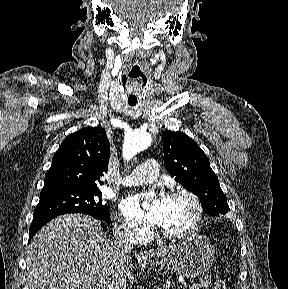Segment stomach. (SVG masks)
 <instances>
[{
  "label": "stomach",
  "mask_w": 288,
  "mask_h": 289,
  "mask_svg": "<svg viewBox=\"0 0 288 289\" xmlns=\"http://www.w3.org/2000/svg\"><path fill=\"white\" fill-rule=\"evenodd\" d=\"M214 262V250L203 235L194 234L171 246L166 257L151 266L171 270L186 278H196L207 272Z\"/></svg>",
  "instance_id": "stomach-1"
}]
</instances>
